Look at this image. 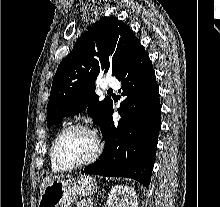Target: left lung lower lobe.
Segmentation results:
<instances>
[{"label":"left lung lower lobe","instance_id":"obj_1","mask_svg":"<svg viewBox=\"0 0 220 207\" xmlns=\"http://www.w3.org/2000/svg\"><path fill=\"white\" fill-rule=\"evenodd\" d=\"M117 79L122 84L119 92L126 96L118 109L121 120L114 125L111 104L101 126L104 150L84 172L132 178L148 187L161 126V106L155 71L141 43Z\"/></svg>","mask_w":220,"mask_h":207}]
</instances>
